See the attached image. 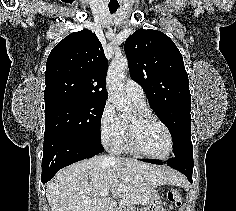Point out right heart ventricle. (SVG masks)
Instances as JSON below:
<instances>
[{"label":"right heart ventricle","instance_id":"right-heart-ventricle-1","mask_svg":"<svg viewBox=\"0 0 236 211\" xmlns=\"http://www.w3.org/2000/svg\"><path fill=\"white\" fill-rule=\"evenodd\" d=\"M134 104L137 106L138 109H142V110L149 111V110L145 107V105H140V104H136V103H134ZM122 123H123V134H122L121 138L119 139V141H118V143H117L115 149L118 150V151L132 152V151L127 147V145H126V143H125V137H124V135H125V126H124V121H122Z\"/></svg>","mask_w":236,"mask_h":211}]
</instances>
